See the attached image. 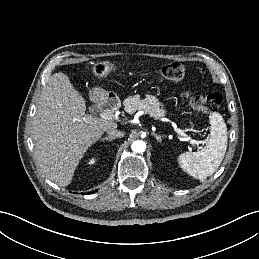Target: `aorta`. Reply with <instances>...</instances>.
<instances>
[{"mask_svg":"<svg viewBox=\"0 0 259 259\" xmlns=\"http://www.w3.org/2000/svg\"><path fill=\"white\" fill-rule=\"evenodd\" d=\"M131 149L135 152V153H142L145 151L146 149V143L142 140H137L134 141L131 145Z\"/></svg>","mask_w":259,"mask_h":259,"instance_id":"obj_1","label":"aorta"}]
</instances>
